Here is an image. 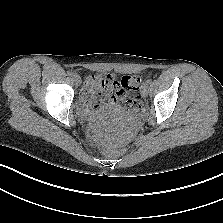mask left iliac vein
<instances>
[{
    "label": "left iliac vein",
    "mask_w": 223,
    "mask_h": 223,
    "mask_svg": "<svg viewBox=\"0 0 223 223\" xmlns=\"http://www.w3.org/2000/svg\"><path fill=\"white\" fill-rule=\"evenodd\" d=\"M148 92H149L148 85L146 83H144L142 88H141V95L143 97H146L148 95Z\"/></svg>",
    "instance_id": "obj_1"
}]
</instances>
